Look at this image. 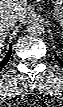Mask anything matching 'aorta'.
I'll list each match as a JSON object with an SVG mask.
<instances>
[{
    "mask_svg": "<svg viewBox=\"0 0 63 107\" xmlns=\"http://www.w3.org/2000/svg\"><path fill=\"white\" fill-rule=\"evenodd\" d=\"M26 31L32 36H39L45 31L44 22L41 19L33 18L28 21Z\"/></svg>",
    "mask_w": 63,
    "mask_h": 107,
    "instance_id": "obj_1",
    "label": "aorta"
}]
</instances>
